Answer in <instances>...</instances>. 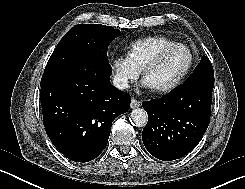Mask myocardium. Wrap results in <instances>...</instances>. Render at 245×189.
<instances>
[{
	"mask_svg": "<svg viewBox=\"0 0 245 189\" xmlns=\"http://www.w3.org/2000/svg\"><path fill=\"white\" fill-rule=\"evenodd\" d=\"M175 48H185L188 51V53H189L188 66L183 71V73L171 84L164 86V87H161V88H158V89H152L153 92H155L157 94H167V93H170V92L176 90L177 88H179L185 82V80L188 78L189 74L191 73V71L194 67L195 56H194V53L191 50V48L189 46H187L186 44H183V43H172V44L166 45L163 48H161L153 56V58L146 63V65L142 69V79L144 80L147 73L149 71H151L153 68H155L162 61V59L165 57V55L168 52H170L171 50H173Z\"/></svg>",
	"mask_w": 245,
	"mask_h": 189,
	"instance_id": "myocardium-1",
	"label": "myocardium"
}]
</instances>
